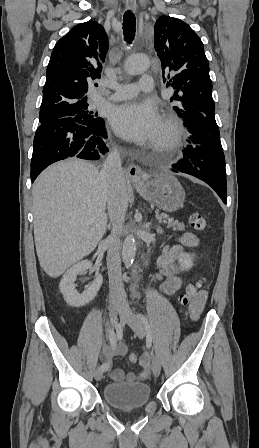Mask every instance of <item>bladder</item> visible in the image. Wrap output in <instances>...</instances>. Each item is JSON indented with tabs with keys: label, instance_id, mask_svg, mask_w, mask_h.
Here are the masks:
<instances>
[{
	"label": "bladder",
	"instance_id": "1",
	"mask_svg": "<svg viewBox=\"0 0 259 448\" xmlns=\"http://www.w3.org/2000/svg\"><path fill=\"white\" fill-rule=\"evenodd\" d=\"M107 403L121 410H133L145 406L151 395L146 383H110L103 389Z\"/></svg>",
	"mask_w": 259,
	"mask_h": 448
}]
</instances>
